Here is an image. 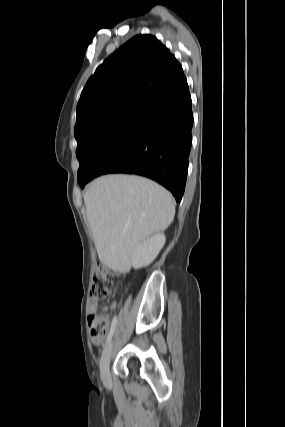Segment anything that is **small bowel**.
I'll return each mask as SVG.
<instances>
[{
	"mask_svg": "<svg viewBox=\"0 0 285 427\" xmlns=\"http://www.w3.org/2000/svg\"><path fill=\"white\" fill-rule=\"evenodd\" d=\"M112 307H115V304H113L112 305ZM98 308V303L96 302V301H94V300H90L89 302H88V310L90 311V312H94V311H96V309Z\"/></svg>",
	"mask_w": 285,
	"mask_h": 427,
	"instance_id": "c3829d8e",
	"label": "small bowel"
}]
</instances>
